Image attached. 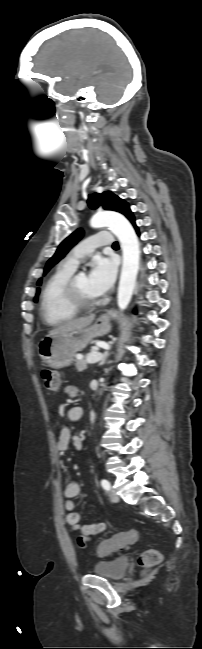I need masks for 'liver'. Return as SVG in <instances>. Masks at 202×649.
I'll return each mask as SVG.
<instances>
[{
	"label": "liver",
	"instance_id": "6515ba94",
	"mask_svg": "<svg viewBox=\"0 0 202 649\" xmlns=\"http://www.w3.org/2000/svg\"><path fill=\"white\" fill-rule=\"evenodd\" d=\"M94 319L95 316L90 315L88 317L66 321L60 324L59 326H57L56 328H54L53 330H51L47 336H55L57 334L68 332V331L84 329L87 326H89Z\"/></svg>",
	"mask_w": 202,
	"mask_h": 649
}]
</instances>
